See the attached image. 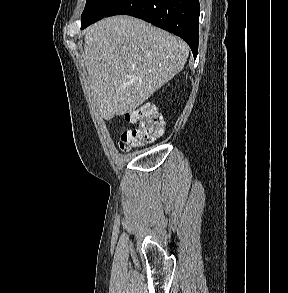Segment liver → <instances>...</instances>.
Wrapping results in <instances>:
<instances>
[{
    "mask_svg": "<svg viewBox=\"0 0 288 293\" xmlns=\"http://www.w3.org/2000/svg\"><path fill=\"white\" fill-rule=\"evenodd\" d=\"M188 55L182 39L134 17L89 26L84 59L101 116L111 120L135 110L183 69Z\"/></svg>",
    "mask_w": 288,
    "mask_h": 293,
    "instance_id": "6515ba94",
    "label": "liver"
}]
</instances>
